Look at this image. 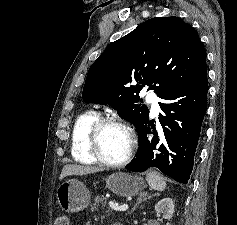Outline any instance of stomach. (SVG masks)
Segmentation results:
<instances>
[{"label": "stomach", "instance_id": "stomach-1", "mask_svg": "<svg viewBox=\"0 0 237 225\" xmlns=\"http://www.w3.org/2000/svg\"><path fill=\"white\" fill-rule=\"evenodd\" d=\"M106 187L121 197L135 196L144 188V181L137 175L116 172L107 177ZM56 196L58 204L66 212L81 211L90 203V192L78 179L62 182Z\"/></svg>", "mask_w": 237, "mask_h": 225}]
</instances>
